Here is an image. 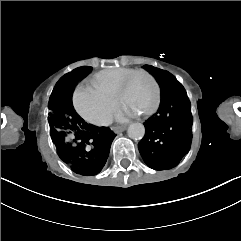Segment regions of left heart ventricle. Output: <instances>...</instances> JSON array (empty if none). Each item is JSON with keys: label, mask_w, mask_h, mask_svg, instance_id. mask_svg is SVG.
Segmentation results:
<instances>
[{"label": "left heart ventricle", "mask_w": 241, "mask_h": 241, "mask_svg": "<svg viewBox=\"0 0 241 241\" xmlns=\"http://www.w3.org/2000/svg\"><path fill=\"white\" fill-rule=\"evenodd\" d=\"M128 83L123 90L125 108L134 114L146 112L155 99L152 81L148 76H141ZM78 98V96H77Z\"/></svg>", "instance_id": "obj_1"}]
</instances>
